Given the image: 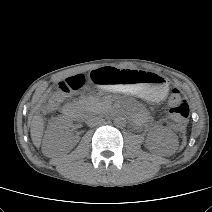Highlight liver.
Segmentation results:
<instances>
[{"instance_id": "1", "label": "liver", "mask_w": 212, "mask_h": 212, "mask_svg": "<svg viewBox=\"0 0 212 212\" xmlns=\"http://www.w3.org/2000/svg\"><path fill=\"white\" fill-rule=\"evenodd\" d=\"M44 131V121L41 115L36 114L33 116L31 121V138L33 141V144L39 148L43 136Z\"/></svg>"}]
</instances>
